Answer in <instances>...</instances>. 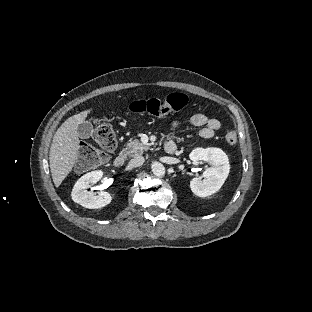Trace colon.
I'll list each match as a JSON object with an SVG mask.
<instances>
[{"mask_svg": "<svg viewBox=\"0 0 312 312\" xmlns=\"http://www.w3.org/2000/svg\"><path fill=\"white\" fill-rule=\"evenodd\" d=\"M186 105V97L181 92L169 93L165 99L149 98L134 101L130 110L134 113L150 114L163 118L168 113L181 110ZM92 135L99 145L98 150H83L80 152L81 164L95 167L110 159L111 153L117 146V137L111 121L97 118L93 121ZM226 143L234 146L237 143V134L229 130L225 133Z\"/></svg>", "mask_w": 312, "mask_h": 312, "instance_id": "1", "label": "colon"}]
</instances>
